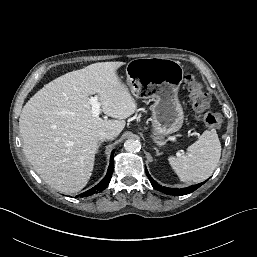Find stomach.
<instances>
[{
    "label": "stomach",
    "instance_id": "obj_1",
    "mask_svg": "<svg viewBox=\"0 0 257 257\" xmlns=\"http://www.w3.org/2000/svg\"><path fill=\"white\" fill-rule=\"evenodd\" d=\"M127 85L135 96L141 93L154 100L151 137L162 141L183 124V108L178 99L183 67L179 61L165 58H137L126 66Z\"/></svg>",
    "mask_w": 257,
    "mask_h": 257
}]
</instances>
